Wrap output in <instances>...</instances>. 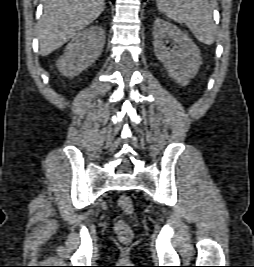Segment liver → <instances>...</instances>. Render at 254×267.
Segmentation results:
<instances>
[{"label": "liver", "mask_w": 254, "mask_h": 267, "mask_svg": "<svg viewBox=\"0 0 254 267\" xmlns=\"http://www.w3.org/2000/svg\"><path fill=\"white\" fill-rule=\"evenodd\" d=\"M104 9V0H44L38 24L40 55L47 56L67 43Z\"/></svg>", "instance_id": "liver-1"}]
</instances>
